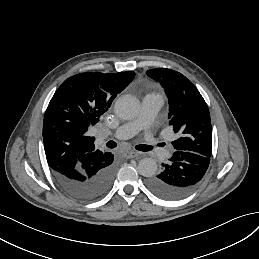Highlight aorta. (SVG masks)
I'll return each mask as SVG.
<instances>
[{
    "instance_id": "1",
    "label": "aorta",
    "mask_w": 259,
    "mask_h": 259,
    "mask_svg": "<svg viewBox=\"0 0 259 259\" xmlns=\"http://www.w3.org/2000/svg\"><path fill=\"white\" fill-rule=\"evenodd\" d=\"M114 111L123 120L133 119L139 112V102L133 96H121L115 102ZM138 172L144 177L154 176L157 172L156 161L152 158L141 159L138 163Z\"/></svg>"
}]
</instances>
